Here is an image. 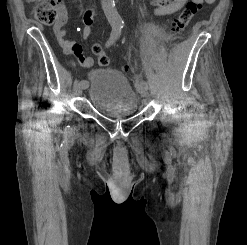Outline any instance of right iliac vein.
<instances>
[{"label": "right iliac vein", "mask_w": 247, "mask_h": 245, "mask_svg": "<svg viewBox=\"0 0 247 245\" xmlns=\"http://www.w3.org/2000/svg\"><path fill=\"white\" fill-rule=\"evenodd\" d=\"M87 87H77V95H81L83 90L86 89Z\"/></svg>", "instance_id": "1"}]
</instances>
